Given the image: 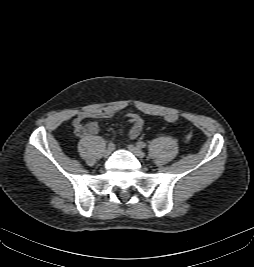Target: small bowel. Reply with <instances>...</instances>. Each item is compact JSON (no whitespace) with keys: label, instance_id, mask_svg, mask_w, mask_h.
<instances>
[{"label":"small bowel","instance_id":"obj_1","mask_svg":"<svg viewBox=\"0 0 254 267\" xmlns=\"http://www.w3.org/2000/svg\"><path fill=\"white\" fill-rule=\"evenodd\" d=\"M117 113L113 110H91V111H83L76 115V117L73 120V127L78 135H84V136H93L98 133L99 127L97 123L90 122L86 125H83V121L85 119L91 118V119H102V118H111L114 117ZM130 123L131 128L129 130V137L131 139H135L139 136L143 129V120L142 118L134 113H129L127 115ZM119 132L122 133L123 129L120 128Z\"/></svg>","mask_w":254,"mask_h":267}]
</instances>
